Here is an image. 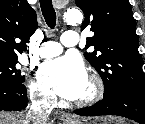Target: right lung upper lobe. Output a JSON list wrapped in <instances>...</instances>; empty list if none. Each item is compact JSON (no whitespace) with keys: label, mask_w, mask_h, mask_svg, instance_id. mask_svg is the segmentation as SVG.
I'll list each match as a JSON object with an SVG mask.
<instances>
[{"label":"right lung upper lobe","mask_w":145,"mask_h":124,"mask_svg":"<svg viewBox=\"0 0 145 124\" xmlns=\"http://www.w3.org/2000/svg\"><path fill=\"white\" fill-rule=\"evenodd\" d=\"M37 27L36 13L25 0H0V52L21 54Z\"/></svg>","instance_id":"obj_1"}]
</instances>
